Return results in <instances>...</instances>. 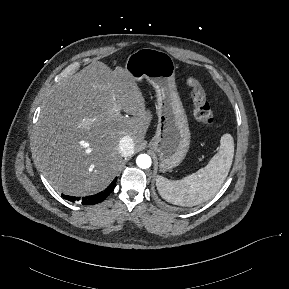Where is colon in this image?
I'll return each mask as SVG.
<instances>
[{"label":"colon","instance_id":"1","mask_svg":"<svg viewBox=\"0 0 289 289\" xmlns=\"http://www.w3.org/2000/svg\"><path fill=\"white\" fill-rule=\"evenodd\" d=\"M187 83L190 87L196 121L204 127L212 125L214 121L213 112L202 84L194 77H190Z\"/></svg>","mask_w":289,"mask_h":289}]
</instances>
